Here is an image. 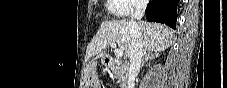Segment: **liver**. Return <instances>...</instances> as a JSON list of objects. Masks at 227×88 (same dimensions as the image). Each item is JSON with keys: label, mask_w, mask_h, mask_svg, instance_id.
Returning a JSON list of instances; mask_svg holds the SVG:
<instances>
[{"label": "liver", "mask_w": 227, "mask_h": 88, "mask_svg": "<svg viewBox=\"0 0 227 88\" xmlns=\"http://www.w3.org/2000/svg\"><path fill=\"white\" fill-rule=\"evenodd\" d=\"M142 39L145 51L159 53L165 51L174 42L172 30L166 25L149 23L146 21L136 24ZM116 43L126 57L130 53V30L128 21H103L96 35L89 43L86 51V59L93 56L103 57L110 43Z\"/></svg>", "instance_id": "obj_1"}]
</instances>
